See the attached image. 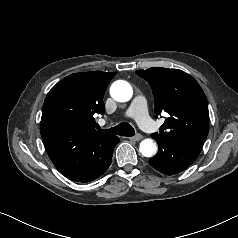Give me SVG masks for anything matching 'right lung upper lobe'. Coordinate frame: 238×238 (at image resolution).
I'll use <instances>...</instances> for the list:
<instances>
[{
    "label": "right lung upper lobe",
    "instance_id": "obj_1",
    "mask_svg": "<svg viewBox=\"0 0 238 238\" xmlns=\"http://www.w3.org/2000/svg\"><path fill=\"white\" fill-rule=\"evenodd\" d=\"M116 72L71 74L46 96L40 132L56 168L72 177L92 168L116 136L94 129V114H103V96Z\"/></svg>",
    "mask_w": 238,
    "mask_h": 238
}]
</instances>
